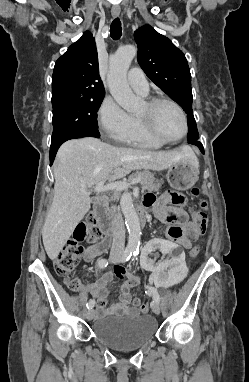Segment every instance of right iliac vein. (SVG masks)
<instances>
[{"label": "right iliac vein", "instance_id": "63e3f726", "mask_svg": "<svg viewBox=\"0 0 249 382\" xmlns=\"http://www.w3.org/2000/svg\"><path fill=\"white\" fill-rule=\"evenodd\" d=\"M118 259H119L118 256H112V257H111V260H112L113 262L118 261ZM94 316H95V310H94L93 308H90V309L86 312V318H87L88 320H92V319L94 318Z\"/></svg>", "mask_w": 249, "mask_h": 382}]
</instances>
